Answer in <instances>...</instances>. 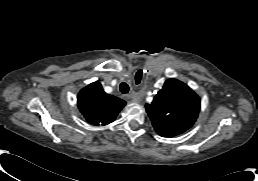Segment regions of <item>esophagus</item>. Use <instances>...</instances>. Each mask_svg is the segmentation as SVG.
Here are the masks:
<instances>
[{"instance_id":"obj_1","label":"esophagus","mask_w":258,"mask_h":181,"mask_svg":"<svg viewBox=\"0 0 258 181\" xmlns=\"http://www.w3.org/2000/svg\"><path fill=\"white\" fill-rule=\"evenodd\" d=\"M130 99H132L134 102H139L140 101V96L138 93L132 92L131 94L128 95Z\"/></svg>"}]
</instances>
